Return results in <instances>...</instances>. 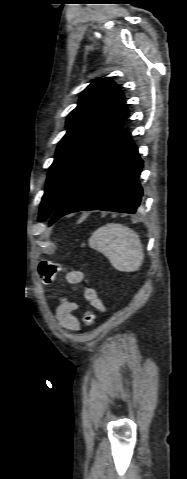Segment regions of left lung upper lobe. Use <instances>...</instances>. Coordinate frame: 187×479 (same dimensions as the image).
<instances>
[{"mask_svg": "<svg viewBox=\"0 0 187 479\" xmlns=\"http://www.w3.org/2000/svg\"><path fill=\"white\" fill-rule=\"evenodd\" d=\"M128 116L124 95L112 80L97 79L83 91L50 167L39 221L53 214L84 172L115 143Z\"/></svg>", "mask_w": 187, "mask_h": 479, "instance_id": "obj_1", "label": "left lung upper lobe"}]
</instances>
